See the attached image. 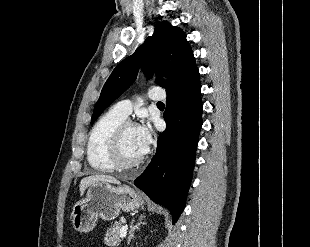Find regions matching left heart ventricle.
<instances>
[{
    "label": "left heart ventricle",
    "mask_w": 310,
    "mask_h": 247,
    "mask_svg": "<svg viewBox=\"0 0 310 247\" xmlns=\"http://www.w3.org/2000/svg\"><path fill=\"white\" fill-rule=\"evenodd\" d=\"M123 158L127 162H132L143 156L137 127H129L122 141Z\"/></svg>",
    "instance_id": "b2bd125f"
}]
</instances>
